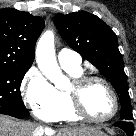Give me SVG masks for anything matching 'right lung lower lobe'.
I'll return each instance as SVG.
<instances>
[{
    "label": "right lung lower lobe",
    "mask_w": 136,
    "mask_h": 136,
    "mask_svg": "<svg viewBox=\"0 0 136 136\" xmlns=\"http://www.w3.org/2000/svg\"><path fill=\"white\" fill-rule=\"evenodd\" d=\"M10 116H13V117H16V118H19V119H23V118H26L24 116H20V115H16V114H12Z\"/></svg>",
    "instance_id": "right-lung-lower-lobe-1"
}]
</instances>
